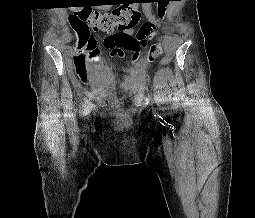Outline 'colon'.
I'll return each mask as SVG.
<instances>
[{
    "label": "colon",
    "mask_w": 255,
    "mask_h": 218,
    "mask_svg": "<svg viewBox=\"0 0 255 218\" xmlns=\"http://www.w3.org/2000/svg\"><path fill=\"white\" fill-rule=\"evenodd\" d=\"M140 19V10L131 3L122 5L110 12L84 8L72 15V23L81 39L80 46L86 50L85 54H79L75 57L76 71L83 82H88L89 65L98 62L100 58L96 41L90 36L89 29L100 30L105 33L115 31L106 40V48L112 50V55L124 56L129 53L135 59L141 49L147 46L155 28L152 22L146 21L134 34L128 33V30L137 27ZM160 52V47H152L149 58H156Z\"/></svg>",
    "instance_id": "obj_1"
}]
</instances>
